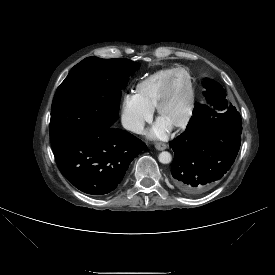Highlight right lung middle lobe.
<instances>
[{
	"mask_svg": "<svg viewBox=\"0 0 275 275\" xmlns=\"http://www.w3.org/2000/svg\"><path fill=\"white\" fill-rule=\"evenodd\" d=\"M139 68L129 59L88 57L75 65L52 103L51 141L63 134L111 127L118 117L119 85Z\"/></svg>",
	"mask_w": 275,
	"mask_h": 275,
	"instance_id": "1",
	"label": "right lung middle lobe"
}]
</instances>
